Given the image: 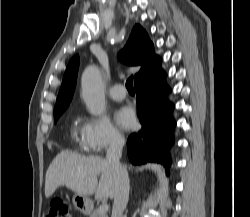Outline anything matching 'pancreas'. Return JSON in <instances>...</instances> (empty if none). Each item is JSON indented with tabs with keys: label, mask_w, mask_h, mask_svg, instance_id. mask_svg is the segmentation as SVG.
<instances>
[{
	"label": "pancreas",
	"mask_w": 250,
	"mask_h": 217,
	"mask_svg": "<svg viewBox=\"0 0 250 217\" xmlns=\"http://www.w3.org/2000/svg\"><path fill=\"white\" fill-rule=\"evenodd\" d=\"M90 217H108V215L106 213H101L99 209H95L91 212Z\"/></svg>",
	"instance_id": "pancreas-1"
}]
</instances>
